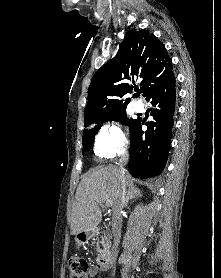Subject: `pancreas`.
<instances>
[{
    "instance_id": "cf45deb5",
    "label": "pancreas",
    "mask_w": 221,
    "mask_h": 278,
    "mask_svg": "<svg viewBox=\"0 0 221 278\" xmlns=\"http://www.w3.org/2000/svg\"><path fill=\"white\" fill-rule=\"evenodd\" d=\"M101 238H102L101 241H97V244H96V246H97V253L101 252L99 244H101L104 248L108 247V239H107V237L104 235Z\"/></svg>"
}]
</instances>
